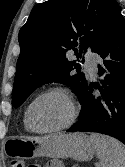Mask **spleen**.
<instances>
[{"instance_id": "obj_1", "label": "spleen", "mask_w": 125, "mask_h": 167, "mask_svg": "<svg viewBox=\"0 0 125 167\" xmlns=\"http://www.w3.org/2000/svg\"><path fill=\"white\" fill-rule=\"evenodd\" d=\"M101 167H125V146L110 136L93 133L90 136Z\"/></svg>"}]
</instances>
